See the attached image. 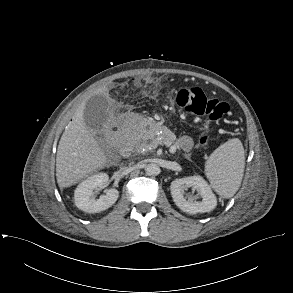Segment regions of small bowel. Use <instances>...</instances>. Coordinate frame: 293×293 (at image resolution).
I'll return each mask as SVG.
<instances>
[{"label": "small bowel", "mask_w": 293, "mask_h": 293, "mask_svg": "<svg viewBox=\"0 0 293 293\" xmlns=\"http://www.w3.org/2000/svg\"><path fill=\"white\" fill-rule=\"evenodd\" d=\"M179 145L183 150H189L192 146V140L188 136H183L179 139Z\"/></svg>", "instance_id": "small-bowel-1"}]
</instances>
